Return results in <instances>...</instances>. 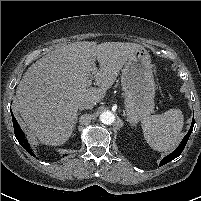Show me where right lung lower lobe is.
Masks as SVG:
<instances>
[{
    "instance_id": "98d812e1",
    "label": "right lung lower lobe",
    "mask_w": 201,
    "mask_h": 201,
    "mask_svg": "<svg viewBox=\"0 0 201 201\" xmlns=\"http://www.w3.org/2000/svg\"><path fill=\"white\" fill-rule=\"evenodd\" d=\"M11 115H12V121H13V126H14V133L15 136L18 140V142L20 143V145L28 152L30 153L32 156L35 157V154L32 150V148L30 147V144L28 143L27 139L25 138V135L22 131V129L20 128L18 122L16 121L12 111H11Z\"/></svg>"
}]
</instances>
